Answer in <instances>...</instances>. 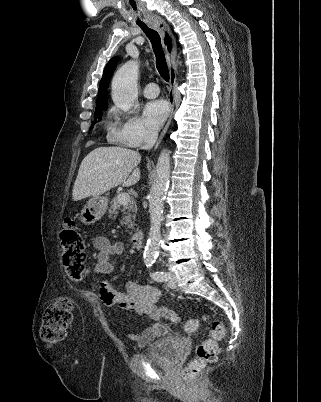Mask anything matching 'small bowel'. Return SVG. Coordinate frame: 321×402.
I'll return each mask as SVG.
<instances>
[{
  "label": "small bowel",
  "mask_w": 321,
  "mask_h": 402,
  "mask_svg": "<svg viewBox=\"0 0 321 402\" xmlns=\"http://www.w3.org/2000/svg\"><path fill=\"white\" fill-rule=\"evenodd\" d=\"M97 250L95 271L100 274L111 273L123 254L120 242L111 243L104 237H96L93 241ZM101 302L108 308L121 307L155 321L141 333H129L128 339L139 346H146L167 333V326L160 320L174 321V312L159 305L160 290L153 285H140L128 282L124 288L113 284H102L99 287Z\"/></svg>",
  "instance_id": "c3829d8e"
}]
</instances>
